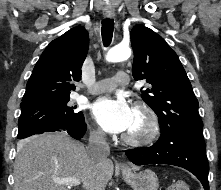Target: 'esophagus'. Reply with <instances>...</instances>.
<instances>
[{"instance_id": "obj_1", "label": "esophagus", "mask_w": 221, "mask_h": 190, "mask_svg": "<svg viewBox=\"0 0 221 190\" xmlns=\"http://www.w3.org/2000/svg\"><path fill=\"white\" fill-rule=\"evenodd\" d=\"M103 12H104V16L106 18H114V16H115L114 9H113V7L111 5H106L104 7ZM121 167L124 168V169H128L129 168V166L126 163H124V162L121 163Z\"/></svg>"}]
</instances>
